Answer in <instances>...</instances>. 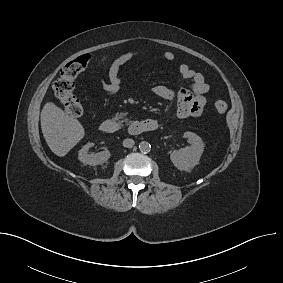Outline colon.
Here are the masks:
<instances>
[{
    "label": "colon",
    "mask_w": 283,
    "mask_h": 283,
    "mask_svg": "<svg viewBox=\"0 0 283 283\" xmlns=\"http://www.w3.org/2000/svg\"><path fill=\"white\" fill-rule=\"evenodd\" d=\"M107 57L101 58L105 61ZM91 63L90 55H82L69 63L61 70L59 78L53 84L54 94L60 101L65 111L72 117H79L83 113L80 100L74 94L75 80ZM214 108L220 114H225L228 106L223 100L214 102Z\"/></svg>",
    "instance_id": "obj_1"
}]
</instances>
